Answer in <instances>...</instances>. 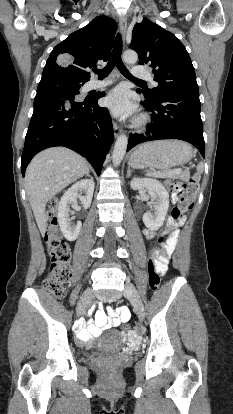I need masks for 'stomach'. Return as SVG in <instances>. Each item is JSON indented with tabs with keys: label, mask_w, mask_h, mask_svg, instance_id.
Masks as SVG:
<instances>
[{
	"label": "stomach",
	"mask_w": 233,
	"mask_h": 414,
	"mask_svg": "<svg viewBox=\"0 0 233 414\" xmlns=\"http://www.w3.org/2000/svg\"><path fill=\"white\" fill-rule=\"evenodd\" d=\"M193 157L190 145L178 140L154 141L138 146L129 157L134 168L169 171L184 165Z\"/></svg>",
	"instance_id": "obj_1"
}]
</instances>
